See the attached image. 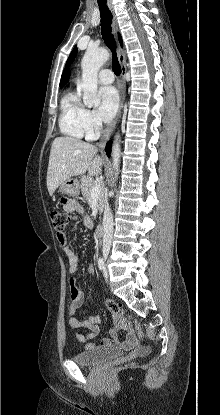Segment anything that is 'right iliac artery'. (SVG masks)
I'll use <instances>...</instances> for the list:
<instances>
[{
	"mask_svg": "<svg viewBox=\"0 0 220 415\" xmlns=\"http://www.w3.org/2000/svg\"><path fill=\"white\" fill-rule=\"evenodd\" d=\"M98 267H99L100 270L104 269V261H103L102 258H99V260H98Z\"/></svg>",
	"mask_w": 220,
	"mask_h": 415,
	"instance_id": "82829eb1",
	"label": "right iliac artery"
}]
</instances>
